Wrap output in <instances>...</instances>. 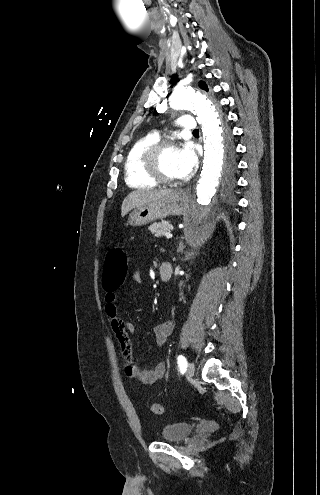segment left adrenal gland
<instances>
[{"label": "left adrenal gland", "instance_id": "a2214340", "mask_svg": "<svg viewBox=\"0 0 320 495\" xmlns=\"http://www.w3.org/2000/svg\"><path fill=\"white\" fill-rule=\"evenodd\" d=\"M183 249H184V246H183V244H182V243H180V251L182 252V251H183Z\"/></svg>", "mask_w": 320, "mask_h": 495}]
</instances>
